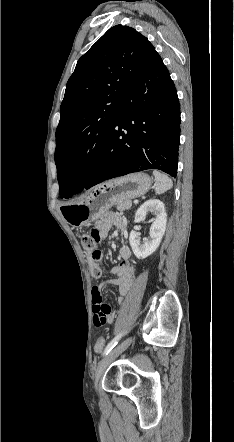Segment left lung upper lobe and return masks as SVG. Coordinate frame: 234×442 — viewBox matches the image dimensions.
<instances>
[{
  "instance_id": "5c2ea615",
  "label": "left lung upper lobe",
  "mask_w": 234,
  "mask_h": 442,
  "mask_svg": "<svg viewBox=\"0 0 234 442\" xmlns=\"http://www.w3.org/2000/svg\"><path fill=\"white\" fill-rule=\"evenodd\" d=\"M155 49L135 29L110 28L77 62L60 107L55 163L60 197L82 191L96 167L124 95Z\"/></svg>"
}]
</instances>
